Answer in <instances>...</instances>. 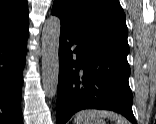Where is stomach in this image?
<instances>
[{
	"label": "stomach",
	"instance_id": "obj_1",
	"mask_svg": "<svg viewBox=\"0 0 156 124\" xmlns=\"http://www.w3.org/2000/svg\"><path fill=\"white\" fill-rule=\"evenodd\" d=\"M89 124H105V122L102 119L98 118V119H93L92 121H90Z\"/></svg>",
	"mask_w": 156,
	"mask_h": 124
}]
</instances>
